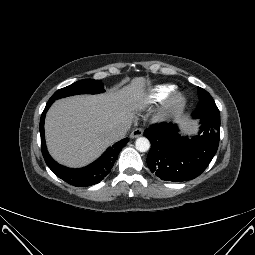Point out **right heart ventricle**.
<instances>
[{"label":"right heart ventricle","mask_w":255,"mask_h":255,"mask_svg":"<svg viewBox=\"0 0 255 255\" xmlns=\"http://www.w3.org/2000/svg\"><path fill=\"white\" fill-rule=\"evenodd\" d=\"M175 91L172 85H163L154 88L149 96L151 102H160L166 100Z\"/></svg>","instance_id":"1"}]
</instances>
